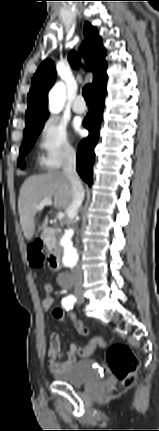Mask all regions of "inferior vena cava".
<instances>
[{
	"instance_id": "obj_1",
	"label": "inferior vena cava",
	"mask_w": 159,
	"mask_h": 431,
	"mask_svg": "<svg viewBox=\"0 0 159 431\" xmlns=\"http://www.w3.org/2000/svg\"><path fill=\"white\" fill-rule=\"evenodd\" d=\"M63 172L68 177L72 185V200L66 210L68 215L67 224L72 225L75 223L78 209L84 200V188L76 171V151L73 148L66 152L63 163ZM72 273L75 280L74 289L77 293L82 290L83 273L79 266L75 267Z\"/></svg>"
}]
</instances>
